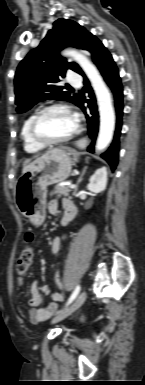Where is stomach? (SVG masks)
<instances>
[{"label":"stomach","mask_w":145,"mask_h":385,"mask_svg":"<svg viewBox=\"0 0 145 385\" xmlns=\"http://www.w3.org/2000/svg\"><path fill=\"white\" fill-rule=\"evenodd\" d=\"M72 160L63 148L47 151L35 160L15 186V203L32 224L41 225L46 217L47 187L65 181L70 173Z\"/></svg>","instance_id":"1"}]
</instances>
